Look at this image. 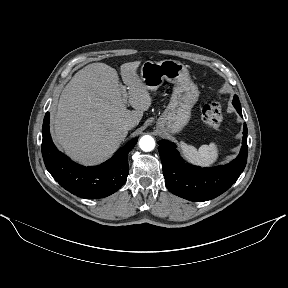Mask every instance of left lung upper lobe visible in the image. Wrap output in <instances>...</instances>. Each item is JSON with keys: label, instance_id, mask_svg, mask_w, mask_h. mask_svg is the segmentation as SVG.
<instances>
[{"label": "left lung upper lobe", "instance_id": "left-lung-upper-lobe-1", "mask_svg": "<svg viewBox=\"0 0 288 288\" xmlns=\"http://www.w3.org/2000/svg\"><path fill=\"white\" fill-rule=\"evenodd\" d=\"M232 103L234 106H241L237 95L234 96Z\"/></svg>", "mask_w": 288, "mask_h": 288}]
</instances>
